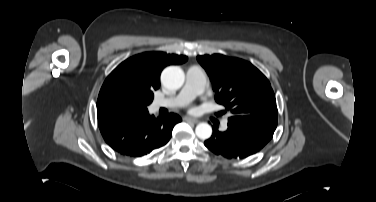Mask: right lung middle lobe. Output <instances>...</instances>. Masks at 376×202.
Segmentation results:
<instances>
[{
	"mask_svg": "<svg viewBox=\"0 0 376 202\" xmlns=\"http://www.w3.org/2000/svg\"><path fill=\"white\" fill-rule=\"evenodd\" d=\"M108 98L113 108L140 115L148 112L147 105L153 100V92L136 85L121 84L111 90Z\"/></svg>",
	"mask_w": 376,
	"mask_h": 202,
	"instance_id": "1",
	"label": "right lung middle lobe"
}]
</instances>
